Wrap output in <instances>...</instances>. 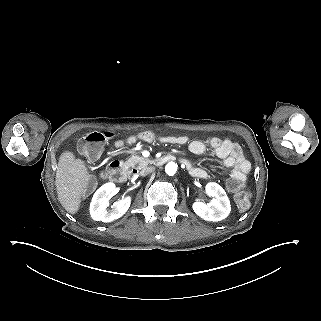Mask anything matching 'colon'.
Wrapping results in <instances>:
<instances>
[{
    "mask_svg": "<svg viewBox=\"0 0 321 321\" xmlns=\"http://www.w3.org/2000/svg\"><path fill=\"white\" fill-rule=\"evenodd\" d=\"M113 136L110 131L88 132L78 143L79 151L92 159L97 158L105 142ZM229 189L234 193L235 202L239 210H246L250 205L249 195L243 190L241 183L237 180L228 181Z\"/></svg>",
    "mask_w": 321,
    "mask_h": 321,
    "instance_id": "5ec220e1",
    "label": "colon"
}]
</instances>
